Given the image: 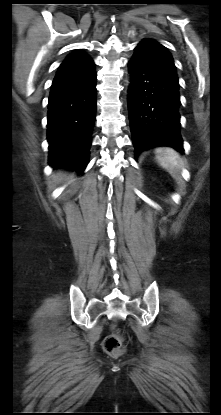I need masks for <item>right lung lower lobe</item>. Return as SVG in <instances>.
Masks as SVG:
<instances>
[{
  "label": "right lung lower lobe",
  "mask_w": 221,
  "mask_h": 415,
  "mask_svg": "<svg viewBox=\"0 0 221 415\" xmlns=\"http://www.w3.org/2000/svg\"><path fill=\"white\" fill-rule=\"evenodd\" d=\"M95 64L58 71L48 102L49 164L83 172L96 113Z\"/></svg>",
  "instance_id": "obj_1"
}]
</instances>
